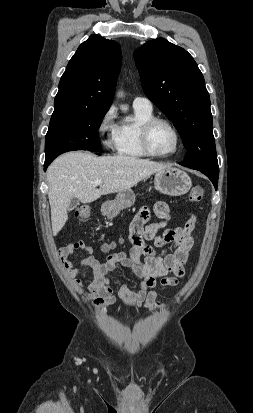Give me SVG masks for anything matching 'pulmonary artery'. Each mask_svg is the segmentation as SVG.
I'll return each instance as SVG.
<instances>
[{
  "mask_svg": "<svg viewBox=\"0 0 253 413\" xmlns=\"http://www.w3.org/2000/svg\"><path fill=\"white\" fill-rule=\"evenodd\" d=\"M133 107L152 110V102L146 97L138 96L133 100Z\"/></svg>",
  "mask_w": 253,
  "mask_h": 413,
  "instance_id": "e3ab8cb5",
  "label": "pulmonary artery"
}]
</instances>
